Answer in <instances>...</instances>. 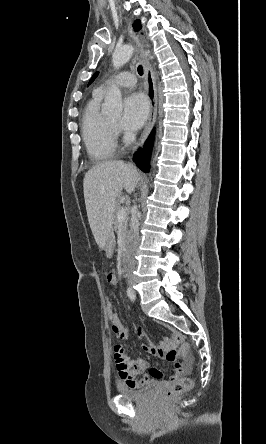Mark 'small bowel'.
I'll return each mask as SVG.
<instances>
[{"instance_id": "1", "label": "small bowel", "mask_w": 266, "mask_h": 444, "mask_svg": "<svg viewBox=\"0 0 266 444\" xmlns=\"http://www.w3.org/2000/svg\"><path fill=\"white\" fill-rule=\"evenodd\" d=\"M107 280L110 284H115L117 275L115 272H110L107 275ZM112 331L119 339H128L129 330L122 324L119 315L110 319ZM139 338L145 337V332L139 329L137 332ZM180 341L179 335L163 340L159 345L142 344V349L155 356L166 359L174 364L173 373L169 380L163 381L165 385L174 382L181 375L189 373L191 370V360L189 357H184L182 362L177 361L178 353L175 347ZM114 356L117 363L119 376L123 381V386L131 389L140 388L149 384L158 383L163 380V373L157 368L149 369L148 362L143 358L130 360L125 355V350L122 346L117 345L114 348ZM141 374V377L137 375Z\"/></svg>"}]
</instances>
